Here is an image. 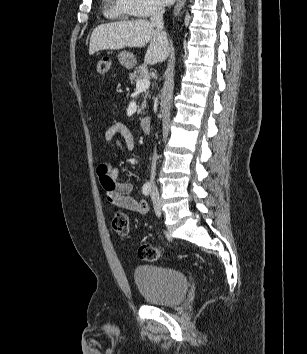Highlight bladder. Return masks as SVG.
<instances>
[{
	"instance_id": "obj_1",
	"label": "bladder",
	"mask_w": 307,
	"mask_h": 354,
	"mask_svg": "<svg viewBox=\"0 0 307 354\" xmlns=\"http://www.w3.org/2000/svg\"><path fill=\"white\" fill-rule=\"evenodd\" d=\"M134 281L148 303L161 306L178 304L188 288L187 277L181 271L155 264L137 266Z\"/></svg>"
}]
</instances>
